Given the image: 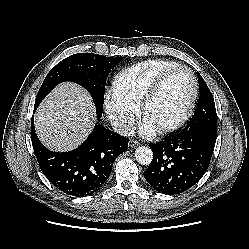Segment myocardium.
Segmentation results:
<instances>
[{
	"label": "myocardium",
	"instance_id": "1",
	"mask_svg": "<svg viewBox=\"0 0 249 249\" xmlns=\"http://www.w3.org/2000/svg\"><path fill=\"white\" fill-rule=\"evenodd\" d=\"M179 70H185L190 75L191 91H190L189 100H188L186 108L184 109L182 114L174 122L157 129L160 134H168V133H171V132H174V131L180 129L182 126H184V124L191 117V115L195 109L196 100H197V96H198V84H197V79H196V75H195L194 71L190 67H188L186 65H182V64H178L174 67H171V68L165 70L155 79L153 84L150 86L148 91L143 96V98L139 104V107H138L139 115L142 119H144V116H145V113H146L148 107L150 106V104L153 102V100L158 95L164 82L167 80V78L170 75H172L173 73H175L176 71H179Z\"/></svg>",
	"mask_w": 249,
	"mask_h": 249
}]
</instances>
